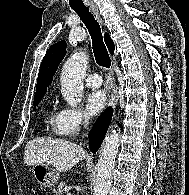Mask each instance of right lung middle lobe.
<instances>
[{"instance_id": "obj_1", "label": "right lung middle lobe", "mask_w": 189, "mask_h": 195, "mask_svg": "<svg viewBox=\"0 0 189 195\" xmlns=\"http://www.w3.org/2000/svg\"><path fill=\"white\" fill-rule=\"evenodd\" d=\"M40 100L34 101V109L39 104Z\"/></svg>"}]
</instances>
